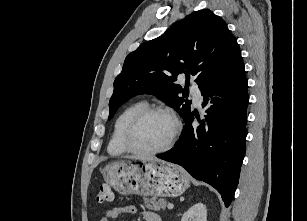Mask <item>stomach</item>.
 I'll return each mask as SVG.
<instances>
[{
  "label": "stomach",
  "instance_id": "obj_1",
  "mask_svg": "<svg viewBox=\"0 0 307 221\" xmlns=\"http://www.w3.org/2000/svg\"><path fill=\"white\" fill-rule=\"evenodd\" d=\"M102 174L123 195L177 197L190 186L180 166L157 159L113 162L104 167Z\"/></svg>",
  "mask_w": 307,
  "mask_h": 221
}]
</instances>
